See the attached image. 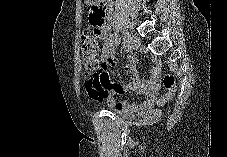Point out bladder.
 Masks as SVG:
<instances>
[{"label": "bladder", "mask_w": 227, "mask_h": 157, "mask_svg": "<svg viewBox=\"0 0 227 157\" xmlns=\"http://www.w3.org/2000/svg\"><path fill=\"white\" fill-rule=\"evenodd\" d=\"M114 113L122 116V117H130L132 114L126 111H122V110H113Z\"/></svg>", "instance_id": "1"}]
</instances>
